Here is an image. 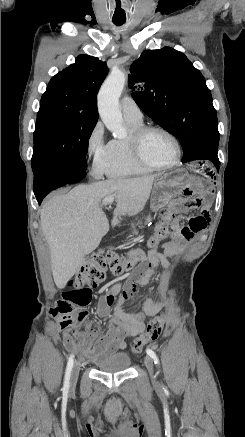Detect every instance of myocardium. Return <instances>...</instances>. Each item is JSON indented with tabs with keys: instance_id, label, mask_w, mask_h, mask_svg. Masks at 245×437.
<instances>
[{
	"instance_id": "myocardium-1",
	"label": "myocardium",
	"mask_w": 245,
	"mask_h": 437,
	"mask_svg": "<svg viewBox=\"0 0 245 437\" xmlns=\"http://www.w3.org/2000/svg\"><path fill=\"white\" fill-rule=\"evenodd\" d=\"M151 131H159L163 134H165L174 144L175 149H176V157L174 159V161L170 164L167 165H160V164H156L153 162L148 161L142 154L141 151V142L143 137ZM128 144H129V148L131 151L132 156L134 157V159L139 162L140 164H142L143 166L149 167L151 169H156V170H166V169H171L174 168L175 166H177L180 162L181 159V145L179 140L177 139V137L168 129H166L165 127L159 126V125H146V126H141L138 129H136L135 131H133L129 138H128Z\"/></svg>"
}]
</instances>
